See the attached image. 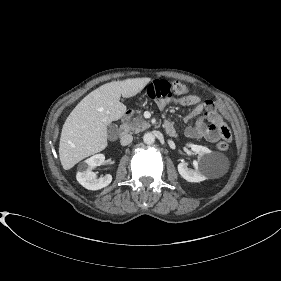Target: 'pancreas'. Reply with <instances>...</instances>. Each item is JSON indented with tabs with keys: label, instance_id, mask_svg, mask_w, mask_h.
<instances>
[{
	"label": "pancreas",
	"instance_id": "pancreas-1",
	"mask_svg": "<svg viewBox=\"0 0 281 281\" xmlns=\"http://www.w3.org/2000/svg\"><path fill=\"white\" fill-rule=\"evenodd\" d=\"M149 127L150 124L142 116H137L127 122V129L134 133L144 131Z\"/></svg>",
	"mask_w": 281,
	"mask_h": 281
}]
</instances>
